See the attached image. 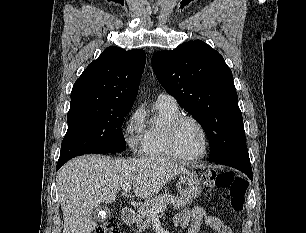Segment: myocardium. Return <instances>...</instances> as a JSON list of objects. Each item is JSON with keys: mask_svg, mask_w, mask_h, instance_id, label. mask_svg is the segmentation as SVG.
Segmentation results:
<instances>
[{"mask_svg": "<svg viewBox=\"0 0 306 233\" xmlns=\"http://www.w3.org/2000/svg\"><path fill=\"white\" fill-rule=\"evenodd\" d=\"M186 122H192L194 123L202 132L203 138H204V149L202 151L201 154L196 155V156H187L184 155L183 153H181V151L178 148V144H177V136H178V132L180 127L186 123ZM168 144L169 147L172 151V153L174 154V156L180 160L183 161H197L200 160L202 158H204L208 151H209V135L208 132L205 128V126L195 117L193 116H179L177 119H175L169 126L168 129Z\"/></svg>", "mask_w": 306, "mask_h": 233, "instance_id": "1", "label": "myocardium"}]
</instances>
